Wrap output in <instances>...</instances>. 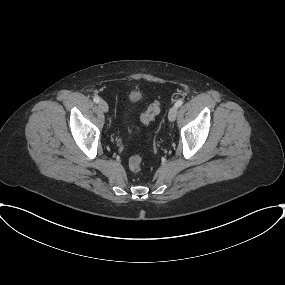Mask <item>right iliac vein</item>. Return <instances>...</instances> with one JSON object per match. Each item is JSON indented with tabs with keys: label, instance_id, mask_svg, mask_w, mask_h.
<instances>
[{
	"label": "right iliac vein",
	"instance_id": "63e3f726",
	"mask_svg": "<svg viewBox=\"0 0 285 285\" xmlns=\"http://www.w3.org/2000/svg\"><path fill=\"white\" fill-rule=\"evenodd\" d=\"M99 108L101 109V111H103L105 113L108 112V110H109L108 104L104 100H101L99 102Z\"/></svg>",
	"mask_w": 285,
	"mask_h": 285
}]
</instances>
